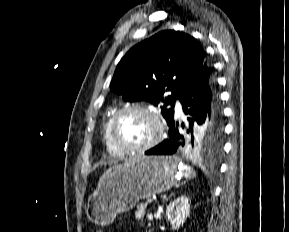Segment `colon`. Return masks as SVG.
Wrapping results in <instances>:
<instances>
[{"label": "colon", "instance_id": "5ec220e1", "mask_svg": "<svg viewBox=\"0 0 289 232\" xmlns=\"http://www.w3.org/2000/svg\"><path fill=\"white\" fill-rule=\"evenodd\" d=\"M93 232H103L102 230H95V231H93Z\"/></svg>", "mask_w": 289, "mask_h": 232}]
</instances>
